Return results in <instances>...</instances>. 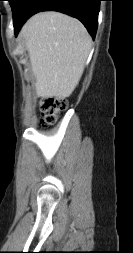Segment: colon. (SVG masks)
I'll return each mask as SVG.
<instances>
[{"label": "colon", "mask_w": 133, "mask_h": 253, "mask_svg": "<svg viewBox=\"0 0 133 253\" xmlns=\"http://www.w3.org/2000/svg\"><path fill=\"white\" fill-rule=\"evenodd\" d=\"M67 107L65 100L58 97H45L41 100L42 117L40 125L47 127L55 123L60 113Z\"/></svg>", "instance_id": "5ec220e1"}]
</instances>
